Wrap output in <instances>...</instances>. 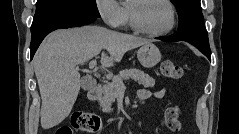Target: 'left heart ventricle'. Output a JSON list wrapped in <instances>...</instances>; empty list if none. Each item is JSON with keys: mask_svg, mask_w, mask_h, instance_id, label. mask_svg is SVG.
<instances>
[{"mask_svg": "<svg viewBox=\"0 0 239 134\" xmlns=\"http://www.w3.org/2000/svg\"><path fill=\"white\" fill-rule=\"evenodd\" d=\"M137 15L141 24L149 30L165 29L170 23V11L159 0H149L137 8Z\"/></svg>", "mask_w": 239, "mask_h": 134, "instance_id": "left-heart-ventricle-1", "label": "left heart ventricle"}]
</instances>
